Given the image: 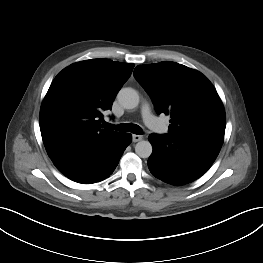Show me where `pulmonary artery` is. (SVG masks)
I'll return each instance as SVG.
<instances>
[{"label": "pulmonary artery", "instance_id": "1", "mask_svg": "<svg viewBox=\"0 0 263 263\" xmlns=\"http://www.w3.org/2000/svg\"><path fill=\"white\" fill-rule=\"evenodd\" d=\"M142 118L145 124L152 129H162L159 120L153 115L149 105L145 104L142 107Z\"/></svg>", "mask_w": 263, "mask_h": 263}]
</instances>
